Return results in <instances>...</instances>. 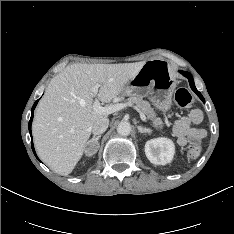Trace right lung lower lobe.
Here are the masks:
<instances>
[{"label":"right lung lower lobe","instance_id":"right-lung-lower-lobe-1","mask_svg":"<svg viewBox=\"0 0 234 234\" xmlns=\"http://www.w3.org/2000/svg\"><path fill=\"white\" fill-rule=\"evenodd\" d=\"M37 103H38V100L34 103V105H33V107H32L31 118H30V121H29V132H30V134H31V123H32V119H33V111H34V109H35ZM31 138H32V136H31ZM31 145H32V150H33V152H34V154H35V156H36V153H35V151H34V147H33V142H32V141H31ZM37 159H38V158H37Z\"/></svg>","mask_w":234,"mask_h":234}]
</instances>
